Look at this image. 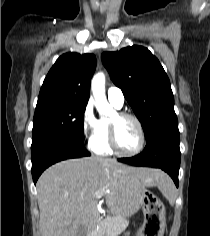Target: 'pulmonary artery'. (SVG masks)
I'll list each match as a JSON object with an SVG mask.
<instances>
[{
    "mask_svg": "<svg viewBox=\"0 0 210 236\" xmlns=\"http://www.w3.org/2000/svg\"><path fill=\"white\" fill-rule=\"evenodd\" d=\"M107 97L110 103L117 108H121L125 101V97L122 90L115 86H112L108 89Z\"/></svg>",
    "mask_w": 210,
    "mask_h": 236,
    "instance_id": "e3ab8cb5",
    "label": "pulmonary artery"
}]
</instances>
